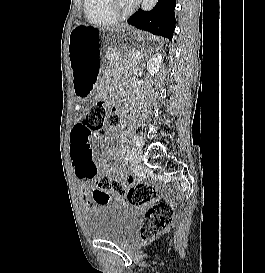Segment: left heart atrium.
<instances>
[{"label": "left heart atrium", "instance_id": "left-heart-atrium-1", "mask_svg": "<svg viewBox=\"0 0 265 273\" xmlns=\"http://www.w3.org/2000/svg\"><path fill=\"white\" fill-rule=\"evenodd\" d=\"M132 2H134V1H137V0H131Z\"/></svg>", "mask_w": 265, "mask_h": 273}]
</instances>
